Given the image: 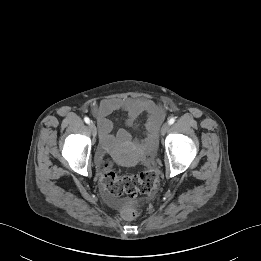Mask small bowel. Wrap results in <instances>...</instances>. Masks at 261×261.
Instances as JSON below:
<instances>
[{
  "instance_id": "small-bowel-1",
  "label": "small bowel",
  "mask_w": 261,
  "mask_h": 261,
  "mask_svg": "<svg viewBox=\"0 0 261 261\" xmlns=\"http://www.w3.org/2000/svg\"><path fill=\"white\" fill-rule=\"evenodd\" d=\"M119 111L126 113V124L129 126L135 125L142 114H147L146 130L153 139L166 116L163 107L142 98H109L94 103L90 107V112L97 120L104 143L112 139L113 123L109 117ZM119 135L125 136V133L121 132Z\"/></svg>"
}]
</instances>
